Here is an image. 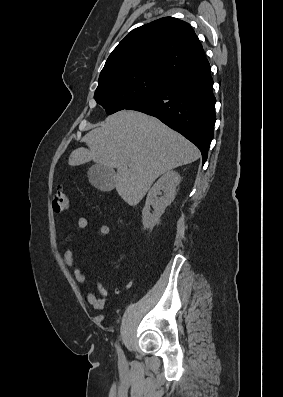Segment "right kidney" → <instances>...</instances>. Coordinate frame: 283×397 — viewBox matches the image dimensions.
I'll use <instances>...</instances> for the list:
<instances>
[{
	"mask_svg": "<svg viewBox=\"0 0 283 397\" xmlns=\"http://www.w3.org/2000/svg\"><path fill=\"white\" fill-rule=\"evenodd\" d=\"M180 181L181 178L178 172L168 171L150 188L146 198V205L142 211V223L145 229H152L158 223L166 207L175 198L176 188ZM158 195L161 196L158 197ZM150 206L154 209L152 213H150Z\"/></svg>",
	"mask_w": 283,
	"mask_h": 397,
	"instance_id": "1",
	"label": "right kidney"
}]
</instances>
